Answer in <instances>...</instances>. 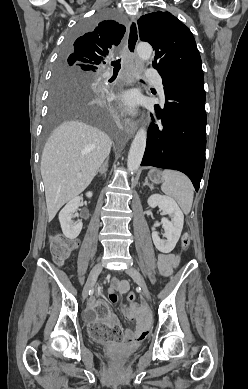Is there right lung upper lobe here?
<instances>
[{
	"mask_svg": "<svg viewBox=\"0 0 248 389\" xmlns=\"http://www.w3.org/2000/svg\"><path fill=\"white\" fill-rule=\"evenodd\" d=\"M125 33V26L114 20L100 22L92 31L85 33L72 42L68 53L63 58V64L69 68L86 67L93 72L111 48L117 46Z\"/></svg>",
	"mask_w": 248,
	"mask_h": 389,
	"instance_id": "right-lung-upper-lobe-1",
	"label": "right lung upper lobe"
}]
</instances>
